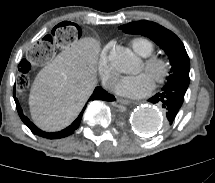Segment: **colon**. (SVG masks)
I'll use <instances>...</instances> for the list:
<instances>
[{
  "mask_svg": "<svg viewBox=\"0 0 215 183\" xmlns=\"http://www.w3.org/2000/svg\"><path fill=\"white\" fill-rule=\"evenodd\" d=\"M83 36V26L77 20H67L58 25L52 33L35 44L17 63L19 77L14 81V90L20 96H29L35 90L33 76L38 72V65L51 59L59 50L64 49Z\"/></svg>",
  "mask_w": 215,
  "mask_h": 183,
  "instance_id": "1",
  "label": "colon"
}]
</instances>
